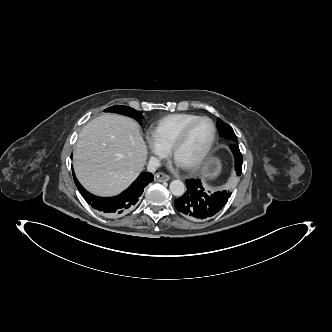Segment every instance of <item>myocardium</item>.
Wrapping results in <instances>:
<instances>
[{"mask_svg":"<svg viewBox=\"0 0 332 332\" xmlns=\"http://www.w3.org/2000/svg\"><path fill=\"white\" fill-rule=\"evenodd\" d=\"M200 121H208L210 123V125L212 127L211 140H210L208 146L206 147V149L203 151V153L193 163L184 167L187 171L198 170L204 164V162L206 161V159L209 157L210 153L212 152V150L215 146L216 140H217V128H216L214 122L208 117L199 116L198 118L192 120L191 122H189L188 124H186L183 127V129L180 131V133L174 140L172 146L170 147V153L173 157H175L176 151L185 141L191 128Z\"/></svg>","mask_w":332,"mask_h":332,"instance_id":"myocardium-1","label":"myocardium"}]
</instances>
